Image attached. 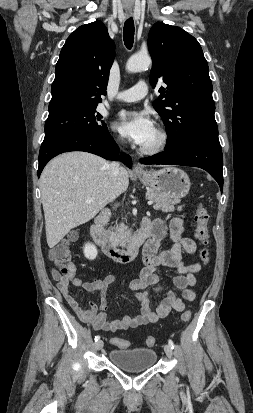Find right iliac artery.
<instances>
[{"instance_id": "right-iliac-artery-1", "label": "right iliac artery", "mask_w": 253, "mask_h": 413, "mask_svg": "<svg viewBox=\"0 0 253 413\" xmlns=\"http://www.w3.org/2000/svg\"><path fill=\"white\" fill-rule=\"evenodd\" d=\"M99 339H100L99 335L95 336V338H94L95 342H97Z\"/></svg>"}]
</instances>
